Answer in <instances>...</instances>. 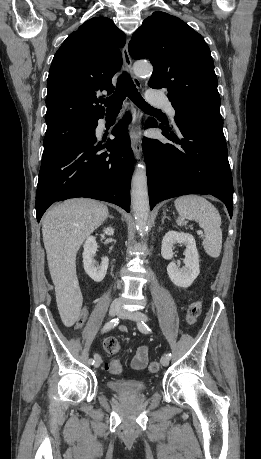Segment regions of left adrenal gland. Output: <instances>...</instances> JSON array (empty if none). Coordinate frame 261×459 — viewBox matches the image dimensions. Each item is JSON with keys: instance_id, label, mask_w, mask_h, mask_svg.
Returning <instances> with one entry per match:
<instances>
[{"instance_id": "obj_1", "label": "left adrenal gland", "mask_w": 261, "mask_h": 459, "mask_svg": "<svg viewBox=\"0 0 261 459\" xmlns=\"http://www.w3.org/2000/svg\"><path fill=\"white\" fill-rule=\"evenodd\" d=\"M166 218L170 220V218L166 216V212H164V216H163V218H162V223H164V220H165Z\"/></svg>"}]
</instances>
